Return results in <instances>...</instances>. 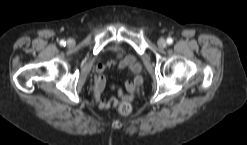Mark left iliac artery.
I'll return each instance as SVG.
<instances>
[{
	"label": "left iliac artery",
	"instance_id": "left-iliac-artery-1",
	"mask_svg": "<svg viewBox=\"0 0 247 145\" xmlns=\"http://www.w3.org/2000/svg\"><path fill=\"white\" fill-rule=\"evenodd\" d=\"M167 43L170 45V44H172L173 43V39L172 38H168L167 39Z\"/></svg>",
	"mask_w": 247,
	"mask_h": 145
}]
</instances>
